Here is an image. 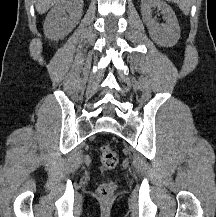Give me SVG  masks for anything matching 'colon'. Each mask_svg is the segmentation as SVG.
Masks as SVG:
<instances>
[{"label": "colon", "instance_id": "1", "mask_svg": "<svg viewBox=\"0 0 216 217\" xmlns=\"http://www.w3.org/2000/svg\"><path fill=\"white\" fill-rule=\"evenodd\" d=\"M101 166L106 170H113L119 164L118 155L115 149L109 144H103L99 148ZM116 186L113 182L102 183L97 189L100 200L108 202L113 198Z\"/></svg>", "mask_w": 216, "mask_h": 217}]
</instances>
